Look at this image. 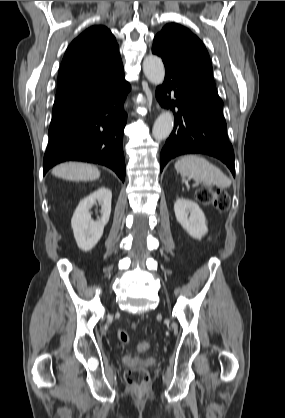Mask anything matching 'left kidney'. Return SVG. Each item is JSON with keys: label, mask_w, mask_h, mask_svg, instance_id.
<instances>
[{"label": "left kidney", "mask_w": 285, "mask_h": 418, "mask_svg": "<svg viewBox=\"0 0 285 418\" xmlns=\"http://www.w3.org/2000/svg\"><path fill=\"white\" fill-rule=\"evenodd\" d=\"M174 211L177 221L191 237L200 240L208 232L205 215L194 201L179 198Z\"/></svg>", "instance_id": "1"}]
</instances>
